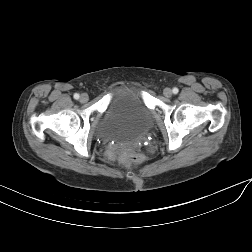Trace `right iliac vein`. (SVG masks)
I'll list each match as a JSON object with an SVG mask.
<instances>
[{"label":"right iliac vein","instance_id":"63e3f726","mask_svg":"<svg viewBox=\"0 0 252 252\" xmlns=\"http://www.w3.org/2000/svg\"><path fill=\"white\" fill-rule=\"evenodd\" d=\"M88 99H89V97H88V95H87L86 93L81 94V96H80V101H81L82 103L87 102Z\"/></svg>","mask_w":252,"mask_h":252}]
</instances>
